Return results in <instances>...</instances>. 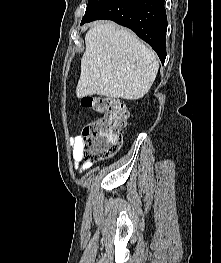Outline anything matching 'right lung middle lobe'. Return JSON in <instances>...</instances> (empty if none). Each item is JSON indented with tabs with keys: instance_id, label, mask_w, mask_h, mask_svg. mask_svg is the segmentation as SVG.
I'll return each mask as SVG.
<instances>
[{
	"instance_id": "right-lung-middle-lobe-1",
	"label": "right lung middle lobe",
	"mask_w": 221,
	"mask_h": 263,
	"mask_svg": "<svg viewBox=\"0 0 221 263\" xmlns=\"http://www.w3.org/2000/svg\"><path fill=\"white\" fill-rule=\"evenodd\" d=\"M109 0H88L87 9L82 20L95 15Z\"/></svg>"
}]
</instances>
